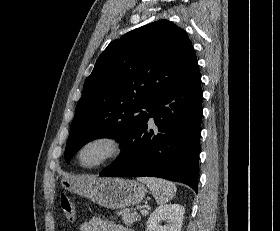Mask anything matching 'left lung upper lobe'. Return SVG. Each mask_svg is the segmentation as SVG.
Listing matches in <instances>:
<instances>
[{"mask_svg":"<svg viewBox=\"0 0 280 231\" xmlns=\"http://www.w3.org/2000/svg\"><path fill=\"white\" fill-rule=\"evenodd\" d=\"M198 70L185 31L159 20L112 41L86 79L66 144L65 160L91 140L120 144L167 90Z\"/></svg>","mask_w":280,"mask_h":231,"instance_id":"5c2ea615","label":"left lung upper lobe"}]
</instances>
